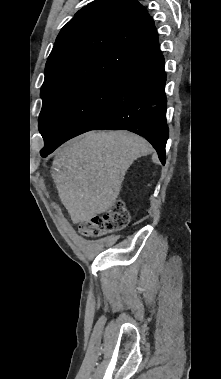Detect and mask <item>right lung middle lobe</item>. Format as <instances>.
Wrapping results in <instances>:
<instances>
[{
  "mask_svg": "<svg viewBox=\"0 0 221 379\" xmlns=\"http://www.w3.org/2000/svg\"><path fill=\"white\" fill-rule=\"evenodd\" d=\"M120 77L99 76L43 96L39 116L43 149L92 130L109 110Z\"/></svg>",
  "mask_w": 221,
  "mask_h": 379,
  "instance_id": "dd1d6c3e",
  "label": "right lung middle lobe"
}]
</instances>
